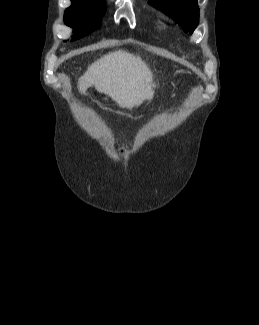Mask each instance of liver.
Segmentation results:
<instances>
[{
  "label": "liver",
  "instance_id": "6515ba94",
  "mask_svg": "<svg viewBox=\"0 0 259 325\" xmlns=\"http://www.w3.org/2000/svg\"><path fill=\"white\" fill-rule=\"evenodd\" d=\"M153 75L139 55L127 51L109 52L90 65L79 78L78 89L86 94L95 89L111 97L120 107L132 109L154 94Z\"/></svg>",
  "mask_w": 259,
  "mask_h": 325
}]
</instances>
